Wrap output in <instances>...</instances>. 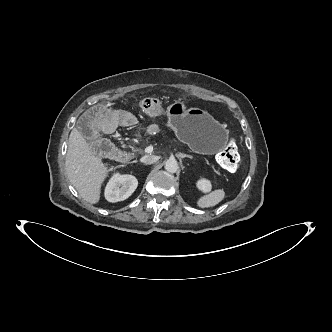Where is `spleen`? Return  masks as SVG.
<instances>
[{
	"label": "spleen",
	"mask_w": 332,
	"mask_h": 332,
	"mask_svg": "<svg viewBox=\"0 0 332 332\" xmlns=\"http://www.w3.org/2000/svg\"><path fill=\"white\" fill-rule=\"evenodd\" d=\"M225 198L223 189H216L212 192L200 197L197 200V206L200 208H209L217 205Z\"/></svg>",
	"instance_id": "1"
}]
</instances>
